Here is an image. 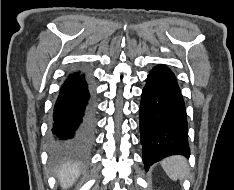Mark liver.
I'll list each match as a JSON object with an SVG mask.
<instances>
[{
    "label": "liver",
    "mask_w": 234,
    "mask_h": 190,
    "mask_svg": "<svg viewBox=\"0 0 234 190\" xmlns=\"http://www.w3.org/2000/svg\"><path fill=\"white\" fill-rule=\"evenodd\" d=\"M79 174L80 172L77 165L72 164H64L57 171V177L63 189H67L72 186Z\"/></svg>",
    "instance_id": "6515ba94"
}]
</instances>
